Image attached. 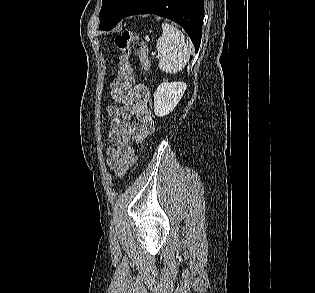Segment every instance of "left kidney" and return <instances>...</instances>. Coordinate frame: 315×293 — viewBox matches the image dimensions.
<instances>
[{
  "label": "left kidney",
  "instance_id": "obj_1",
  "mask_svg": "<svg viewBox=\"0 0 315 293\" xmlns=\"http://www.w3.org/2000/svg\"><path fill=\"white\" fill-rule=\"evenodd\" d=\"M187 88L184 82H163L154 93V112L158 117L174 110Z\"/></svg>",
  "mask_w": 315,
  "mask_h": 293
}]
</instances>
